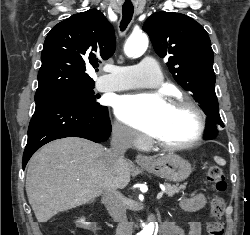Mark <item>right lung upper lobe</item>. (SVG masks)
I'll list each match as a JSON object with an SVG mask.
<instances>
[{
	"label": "right lung upper lobe",
	"instance_id": "obj_1",
	"mask_svg": "<svg viewBox=\"0 0 250 235\" xmlns=\"http://www.w3.org/2000/svg\"><path fill=\"white\" fill-rule=\"evenodd\" d=\"M115 46L113 26L96 9L58 23L44 42L35 98L94 86L86 66L98 67L113 55Z\"/></svg>",
	"mask_w": 250,
	"mask_h": 235
}]
</instances>
